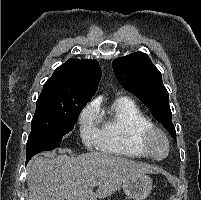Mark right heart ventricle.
<instances>
[{
	"label": "right heart ventricle",
	"mask_w": 201,
	"mask_h": 200,
	"mask_svg": "<svg viewBox=\"0 0 201 200\" xmlns=\"http://www.w3.org/2000/svg\"><path fill=\"white\" fill-rule=\"evenodd\" d=\"M96 110L100 120L99 149L130 158L148 157L140 135L152 123L133 100L120 96L107 110Z\"/></svg>",
	"instance_id": "e07e8e85"
}]
</instances>
